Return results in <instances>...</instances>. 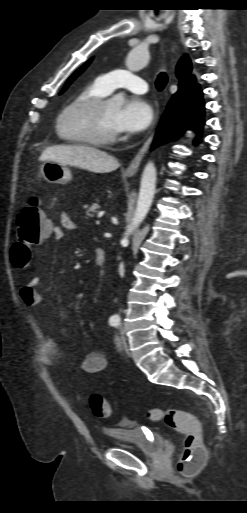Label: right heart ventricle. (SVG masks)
<instances>
[{
	"instance_id": "1",
	"label": "right heart ventricle",
	"mask_w": 247,
	"mask_h": 513,
	"mask_svg": "<svg viewBox=\"0 0 247 513\" xmlns=\"http://www.w3.org/2000/svg\"><path fill=\"white\" fill-rule=\"evenodd\" d=\"M108 93L106 91H104L100 85L97 83V81L87 85L86 87H84L80 92L77 93V95L65 106H69L71 104H74L80 100H83V99H86V98H89V97H105L107 96ZM57 129H58V134L59 136L65 140V141H68V142H71V143H81L73 138H70L69 136H67L59 127V124L57 125Z\"/></svg>"
}]
</instances>
